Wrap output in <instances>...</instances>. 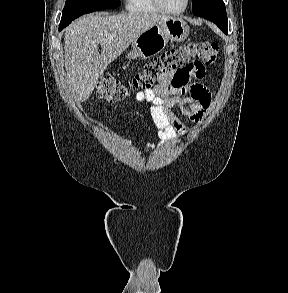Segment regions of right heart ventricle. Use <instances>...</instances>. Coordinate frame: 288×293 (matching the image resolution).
Masks as SVG:
<instances>
[{
	"label": "right heart ventricle",
	"mask_w": 288,
	"mask_h": 293,
	"mask_svg": "<svg viewBox=\"0 0 288 293\" xmlns=\"http://www.w3.org/2000/svg\"><path fill=\"white\" fill-rule=\"evenodd\" d=\"M126 9L133 13H159L153 0H126Z\"/></svg>",
	"instance_id": "1"
}]
</instances>
